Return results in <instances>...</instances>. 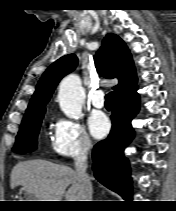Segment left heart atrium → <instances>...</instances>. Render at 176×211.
<instances>
[{"instance_id":"1","label":"left heart atrium","mask_w":176,"mask_h":211,"mask_svg":"<svg viewBox=\"0 0 176 211\" xmlns=\"http://www.w3.org/2000/svg\"><path fill=\"white\" fill-rule=\"evenodd\" d=\"M88 127L91 134L97 138H103L110 130V122L105 114L101 112L93 113L88 119Z\"/></svg>"}]
</instances>
